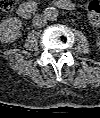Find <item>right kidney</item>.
I'll return each instance as SVG.
<instances>
[{
  "label": "right kidney",
  "instance_id": "right-kidney-1",
  "mask_svg": "<svg viewBox=\"0 0 100 118\" xmlns=\"http://www.w3.org/2000/svg\"><path fill=\"white\" fill-rule=\"evenodd\" d=\"M22 22L18 18H7L0 23V40L13 43L20 36Z\"/></svg>",
  "mask_w": 100,
  "mask_h": 118
}]
</instances>
